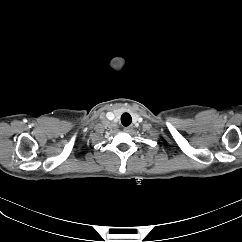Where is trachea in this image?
<instances>
[{"mask_svg": "<svg viewBox=\"0 0 242 242\" xmlns=\"http://www.w3.org/2000/svg\"><path fill=\"white\" fill-rule=\"evenodd\" d=\"M132 118L129 113H123L121 116V123L123 126H129L131 124Z\"/></svg>", "mask_w": 242, "mask_h": 242, "instance_id": "trachea-1", "label": "trachea"}]
</instances>
